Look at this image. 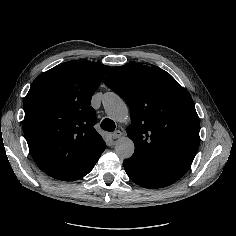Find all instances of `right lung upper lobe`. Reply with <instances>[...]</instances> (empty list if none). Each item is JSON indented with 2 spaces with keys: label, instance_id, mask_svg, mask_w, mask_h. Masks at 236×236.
I'll return each instance as SVG.
<instances>
[{
  "label": "right lung upper lobe",
  "instance_id": "1",
  "mask_svg": "<svg viewBox=\"0 0 236 236\" xmlns=\"http://www.w3.org/2000/svg\"><path fill=\"white\" fill-rule=\"evenodd\" d=\"M109 69L92 62H66L31 84L23 104L24 135L32 157L51 177L68 181L104 151L90 104Z\"/></svg>",
  "mask_w": 236,
  "mask_h": 236
}]
</instances>
